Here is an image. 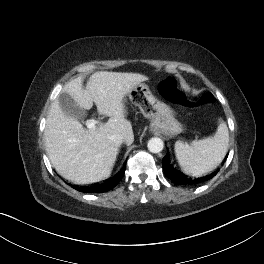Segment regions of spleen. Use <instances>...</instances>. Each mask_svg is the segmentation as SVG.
<instances>
[{
	"mask_svg": "<svg viewBox=\"0 0 264 264\" xmlns=\"http://www.w3.org/2000/svg\"><path fill=\"white\" fill-rule=\"evenodd\" d=\"M229 131L221 122L213 137L193 141L191 145L175 143V154L182 170L192 174H205L216 169L228 151Z\"/></svg>",
	"mask_w": 264,
	"mask_h": 264,
	"instance_id": "spleen-1",
	"label": "spleen"
}]
</instances>
